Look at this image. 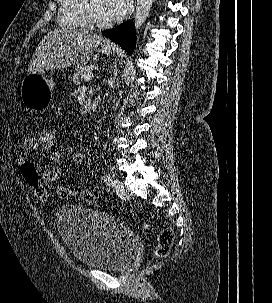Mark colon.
Returning <instances> with one entry per match:
<instances>
[{"label":"colon","instance_id":"5ec220e1","mask_svg":"<svg viewBox=\"0 0 272 303\" xmlns=\"http://www.w3.org/2000/svg\"><path fill=\"white\" fill-rule=\"evenodd\" d=\"M36 137L43 147L56 148L57 135L52 128H43ZM69 162L72 171H79L84 167L85 156L81 151H76L69 157ZM21 174L37 195L40 197L46 196L44 187L47 184V177L43 174H38L34 165L25 163L23 166H21ZM57 193L63 199L78 196L88 204H94L96 202V196L87 189L77 190L66 186H59L57 188ZM144 227L148 229L150 227L149 223H145ZM173 241V230L169 227L162 229L158 234L157 244L154 248V255L158 258L167 256Z\"/></svg>","mask_w":272,"mask_h":303}]
</instances>
